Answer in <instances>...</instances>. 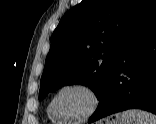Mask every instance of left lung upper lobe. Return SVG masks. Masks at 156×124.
<instances>
[{
    "mask_svg": "<svg viewBox=\"0 0 156 124\" xmlns=\"http://www.w3.org/2000/svg\"><path fill=\"white\" fill-rule=\"evenodd\" d=\"M155 6L156 0H83L71 8L52 35L39 100L76 83L99 99L125 46Z\"/></svg>",
    "mask_w": 156,
    "mask_h": 124,
    "instance_id": "left-lung-upper-lobe-1",
    "label": "left lung upper lobe"
}]
</instances>
